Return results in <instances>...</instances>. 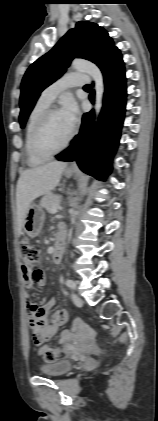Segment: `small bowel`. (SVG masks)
Here are the masks:
<instances>
[{
	"instance_id": "c3829d8e",
	"label": "small bowel",
	"mask_w": 158,
	"mask_h": 421,
	"mask_svg": "<svg viewBox=\"0 0 158 421\" xmlns=\"http://www.w3.org/2000/svg\"><path fill=\"white\" fill-rule=\"evenodd\" d=\"M23 279L28 287H43L46 284V277L42 270H23ZM55 304L51 299L44 304L27 302L29 324L32 336L37 344L50 340L59 334V341L70 349L73 344L86 342L90 339L91 329L81 320H75L71 330H64L59 333L60 327L68 320V313L65 310H58L50 317V310Z\"/></svg>"
}]
</instances>
